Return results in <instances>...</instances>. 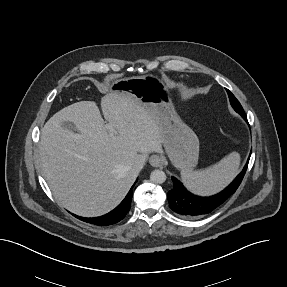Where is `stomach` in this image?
Listing matches in <instances>:
<instances>
[{
	"instance_id": "0dacf381",
	"label": "stomach",
	"mask_w": 287,
	"mask_h": 287,
	"mask_svg": "<svg viewBox=\"0 0 287 287\" xmlns=\"http://www.w3.org/2000/svg\"><path fill=\"white\" fill-rule=\"evenodd\" d=\"M109 94H130L156 119L162 131V144L173 165L192 170L198 162L199 140L174 109L170 90L151 74L114 79Z\"/></svg>"
}]
</instances>
